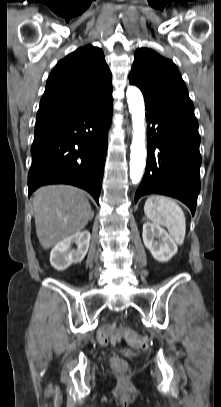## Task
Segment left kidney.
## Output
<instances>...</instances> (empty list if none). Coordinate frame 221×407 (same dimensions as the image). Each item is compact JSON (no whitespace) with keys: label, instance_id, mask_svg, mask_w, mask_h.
I'll return each mask as SVG.
<instances>
[{"label":"left kidney","instance_id":"5707ae66","mask_svg":"<svg viewBox=\"0 0 221 407\" xmlns=\"http://www.w3.org/2000/svg\"><path fill=\"white\" fill-rule=\"evenodd\" d=\"M142 237L145 247L157 261L167 262L177 253L178 247L174 239L157 224L144 223Z\"/></svg>","mask_w":221,"mask_h":407}]
</instances>
